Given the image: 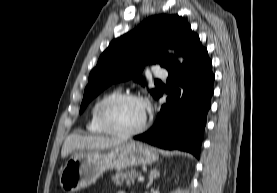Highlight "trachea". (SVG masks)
<instances>
[{
	"label": "trachea",
	"mask_w": 277,
	"mask_h": 193,
	"mask_svg": "<svg viewBox=\"0 0 277 193\" xmlns=\"http://www.w3.org/2000/svg\"><path fill=\"white\" fill-rule=\"evenodd\" d=\"M156 82H161L160 80H156Z\"/></svg>",
	"instance_id": "trachea-1"
}]
</instances>
